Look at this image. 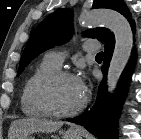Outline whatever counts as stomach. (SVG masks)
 <instances>
[{"instance_id": "stomach-1", "label": "stomach", "mask_w": 141, "mask_h": 139, "mask_svg": "<svg viewBox=\"0 0 141 139\" xmlns=\"http://www.w3.org/2000/svg\"><path fill=\"white\" fill-rule=\"evenodd\" d=\"M53 139H60L57 136H52ZM24 139H35L32 135L26 136ZM61 139H82V134L74 130H67Z\"/></svg>"}]
</instances>
